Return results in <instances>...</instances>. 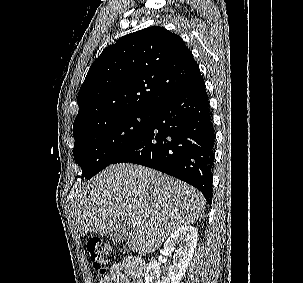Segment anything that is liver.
Here are the masks:
<instances>
[{"mask_svg": "<svg viewBox=\"0 0 303 283\" xmlns=\"http://www.w3.org/2000/svg\"><path fill=\"white\" fill-rule=\"evenodd\" d=\"M76 232L113 235L124 219L132 225V251L151 253L177 229L204 215L205 198L171 176L129 163L110 165L74 193ZM132 221H135L134 223Z\"/></svg>", "mask_w": 303, "mask_h": 283, "instance_id": "obj_1", "label": "liver"}]
</instances>
